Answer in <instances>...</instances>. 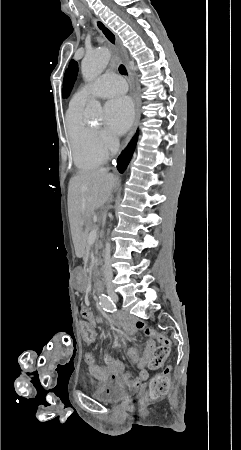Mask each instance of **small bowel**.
Masks as SVG:
<instances>
[{"instance_id": "obj_1", "label": "small bowel", "mask_w": 241, "mask_h": 450, "mask_svg": "<svg viewBox=\"0 0 241 450\" xmlns=\"http://www.w3.org/2000/svg\"><path fill=\"white\" fill-rule=\"evenodd\" d=\"M81 313L85 319L82 325H95V316L89 309L82 308ZM138 331H143L151 337L145 341L144 348L140 356L133 348H128L126 350L127 357L139 370L137 376L134 377L131 373L125 372L124 364L113 359L107 354L103 355V365H98L96 363L95 356H84L90 375L102 383L111 382L114 384L124 385L130 389H136L144 383L149 378L147 365L156 350V343L152 337H155L159 342L167 340L169 343V340L160 333L152 331L147 324L141 320H135L132 323H125L123 326V334L126 336H132Z\"/></svg>"}]
</instances>
